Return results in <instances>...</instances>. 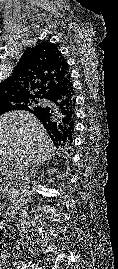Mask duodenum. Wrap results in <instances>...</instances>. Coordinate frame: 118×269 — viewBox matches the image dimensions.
<instances>
[{
  "label": "duodenum",
  "instance_id": "410a0bca",
  "mask_svg": "<svg viewBox=\"0 0 118 269\" xmlns=\"http://www.w3.org/2000/svg\"><path fill=\"white\" fill-rule=\"evenodd\" d=\"M15 210H16L15 204L9 206L3 214H0V219L6 223L10 222L13 219Z\"/></svg>",
  "mask_w": 118,
  "mask_h": 269
}]
</instances>
